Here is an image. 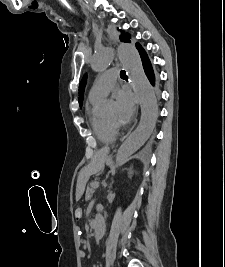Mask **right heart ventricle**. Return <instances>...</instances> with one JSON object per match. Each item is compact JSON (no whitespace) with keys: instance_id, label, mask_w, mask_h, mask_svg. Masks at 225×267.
Here are the masks:
<instances>
[{"instance_id":"obj_1","label":"right heart ventricle","mask_w":225,"mask_h":267,"mask_svg":"<svg viewBox=\"0 0 225 267\" xmlns=\"http://www.w3.org/2000/svg\"><path fill=\"white\" fill-rule=\"evenodd\" d=\"M98 103L99 100L90 99L88 112L91 128L99 141L103 143H111L115 139L116 131L105 118L98 114Z\"/></svg>"}]
</instances>
